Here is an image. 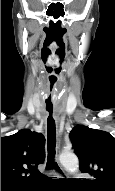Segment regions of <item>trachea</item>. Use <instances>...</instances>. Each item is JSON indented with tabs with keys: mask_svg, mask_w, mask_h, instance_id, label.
Returning a JSON list of instances; mask_svg holds the SVG:
<instances>
[{
	"mask_svg": "<svg viewBox=\"0 0 115 191\" xmlns=\"http://www.w3.org/2000/svg\"><path fill=\"white\" fill-rule=\"evenodd\" d=\"M49 112V116L47 118V150H48V157H47V169H55L57 171H60V168L57 164V162L54 161L55 158V147H56V126H55V120L52 116L53 110L47 109Z\"/></svg>",
	"mask_w": 115,
	"mask_h": 191,
	"instance_id": "obj_1",
	"label": "trachea"
}]
</instances>
